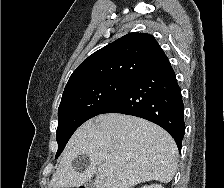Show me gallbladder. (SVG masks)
I'll return each mask as SVG.
<instances>
[{"label": "gallbladder", "instance_id": "1", "mask_svg": "<svg viewBox=\"0 0 224 188\" xmlns=\"http://www.w3.org/2000/svg\"><path fill=\"white\" fill-rule=\"evenodd\" d=\"M85 187H86V188H94V183H93V181H91V182H86Z\"/></svg>", "mask_w": 224, "mask_h": 188}]
</instances>
